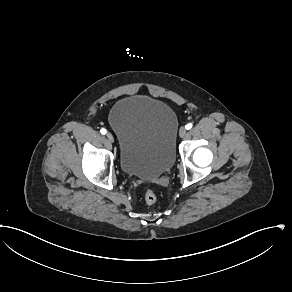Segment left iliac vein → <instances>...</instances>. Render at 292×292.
Instances as JSON below:
<instances>
[{
  "label": "left iliac vein",
  "mask_w": 292,
  "mask_h": 292,
  "mask_svg": "<svg viewBox=\"0 0 292 292\" xmlns=\"http://www.w3.org/2000/svg\"><path fill=\"white\" fill-rule=\"evenodd\" d=\"M187 135V129L186 127H181L180 130H179V136L181 138L185 137Z\"/></svg>",
  "instance_id": "obj_1"
}]
</instances>
